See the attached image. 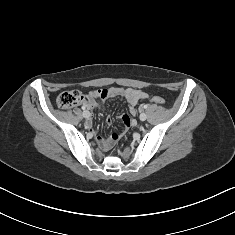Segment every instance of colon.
<instances>
[{
	"label": "colon",
	"mask_w": 235,
	"mask_h": 235,
	"mask_svg": "<svg viewBox=\"0 0 235 235\" xmlns=\"http://www.w3.org/2000/svg\"><path fill=\"white\" fill-rule=\"evenodd\" d=\"M83 99H84V94L81 91L70 90V91H65V92L60 93L56 99V102L60 108L68 109L73 106H76ZM151 101L156 104H164L165 103V100L160 96H152ZM122 121H123V124L125 125L126 128L130 127V125L132 123V121L128 115H123ZM118 138H119V136L117 134H111L109 136H106L103 146L107 150L111 151L114 143L116 142V140Z\"/></svg>",
	"instance_id": "1"
}]
</instances>
